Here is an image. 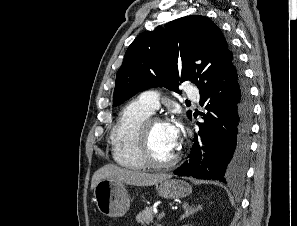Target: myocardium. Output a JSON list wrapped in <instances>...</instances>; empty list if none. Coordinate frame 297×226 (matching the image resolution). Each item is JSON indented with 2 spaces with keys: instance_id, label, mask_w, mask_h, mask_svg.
Returning <instances> with one entry per match:
<instances>
[{
  "instance_id": "obj_1",
  "label": "myocardium",
  "mask_w": 297,
  "mask_h": 226,
  "mask_svg": "<svg viewBox=\"0 0 297 226\" xmlns=\"http://www.w3.org/2000/svg\"><path fill=\"white\" fill-rule=\"evenodd\" d=\"M166 121L158 116H149L143 121L140 125L137 133V143L138 151L143 158L146 165L153 168H168L174 166L181 157L180 150H177L176 153L169 159L161 161L158 160L152 153L150 147V133L153 125L157 123H165Z\"/></svg>"
}]
</instances>
